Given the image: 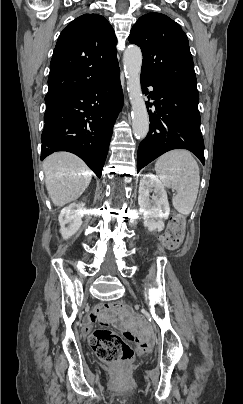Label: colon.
<instances>
[{
  "label": "colon",
  "mask_w": 243,
  "mask_h": 404,
  "mask_svg": "<svg viewBox=\"0 0 243 404\" xmlns=\"http://www.w3.org/2000/svg\"><path fill=\"white\" fill-rule=\"evenodd\" d=\"M185 232V219L182 215L171 218L167 230L161 239L164 249L175 250L183 240ZM107 306L121 315L131 314L130 308L120 302L111 301ZM129 341L137 344L136 352L144 354L151 348L152 342L148 338H140L134 334H128ZM90 342L95 349L97 356L107 362L124 363L130 361L134 356V349L120 335L108 329H97L90 338Z\"/></svg>",
  "instance_id": "1"
}]
</instances>
